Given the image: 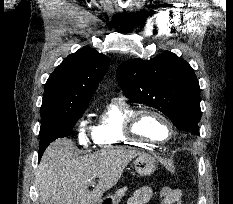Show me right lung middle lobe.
<instances>
[{"instance_id":"1","label":"right lung middle lobe","mask_w":233,"mask_h":204,"mask_svg":"<svg viewBox=\"0 0 233 204\" xmlns=\"http://www.w3.org/2000/svg\"><path fill=\"white\" fill-rule=\"evenodd\" d=\"M85 110L73 111L68 114L42 118L40 147L49 145L57 138L68 136L77 120L81 118Z\"/></svg>"}]
</instances>
